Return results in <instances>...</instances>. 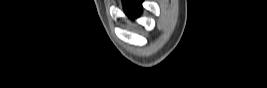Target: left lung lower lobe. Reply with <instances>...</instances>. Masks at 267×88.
<instances>
[{"label": "left lung lower lobe", "instance_id": "1", "mask_svg": "<svg viewBox=\"0 0 267 88\" xmlns=\"http://www.w3.org/2000/svg\"><path fill=\"white\" fill-rule=\"evenodd\" d=\"M125 9L127 10L129 14L133 15L138 10V7L134 5L133 3L127 1L125 2Z\"/></svg>", "mask_w": 267, "mask_h": 88}]
</instances>
